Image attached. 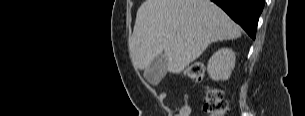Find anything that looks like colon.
Here are the masks:
<instances>
[{
  "label": "colon",
  "instance_id": "colon-1",
  "mask_svg": "<svg viewBox=\"0 0 305 116\" xmlns=\"http://www.w3.org/2000/svg\"><path fill=\"white\" fill-rule=\"evenodd\" d=\"M185 76L197 82L205 79V67L201 63H191L185 70ZM204 111L208 116H225L230 112L228 102L224 98L222 90L209 86L206 89ZM190 109L187 104L183 105L177 116H188Z\"/></svg>",
  "mask_w": 305,
  "mask_h": 116
}]
</instances>
